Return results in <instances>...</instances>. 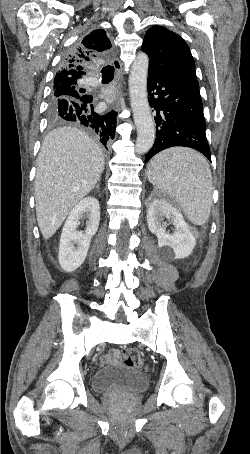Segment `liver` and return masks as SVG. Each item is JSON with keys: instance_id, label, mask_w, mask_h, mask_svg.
I'll list each match as a JSON object with an SVG mask.
<instances>
[{"instance_id": "6515ba94", "label": "liver", "mask_w": 250, "mask_h": 454, "mask_svg": "<svg viewBox=\"0 0 250 454\" xmlns=\"http://www.w3.org/2000/svg\"><path fill=\"white\" fill-rule=\"evenodd\" d=\"M103 170L100 147L82 130L59 127L44 138L37 161L35 206L45 240L53 236L70 210L94 189Z\"/></svg>"}]
</instances>
